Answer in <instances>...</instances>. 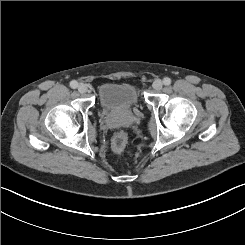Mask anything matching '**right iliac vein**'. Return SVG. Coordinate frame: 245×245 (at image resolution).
<instances>
[{"label": "right iliac vein", "mask_w": 245, "mask_h": 245, "mask_svg": "<svg viewBox=\"0 0 245 245\" xmlns=\"http://www.w3.org/2000/svg\"><path fill=\"white\" fill-rule=\"evenodd\" d=\"M77 89L79 93L83 94L87 91V85L84 83H80Z\"/></svg>", "instance_id": "1"}]
</instances>
